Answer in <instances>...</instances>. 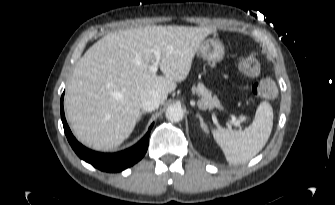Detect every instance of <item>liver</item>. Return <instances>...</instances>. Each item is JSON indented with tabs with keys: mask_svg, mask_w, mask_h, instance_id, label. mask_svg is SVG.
I'll return each mask as SVG.
<instances>
[{
	"mask_svg": "<svg viewBox=\"0 0 335 205\" xmlns=\"http://www.w3.org/2000/svg\"><path fill=\"white\" fill-rule=\"evenodd\" d=\"M215 29L144 26L109 33L78 61L65 96L66 116L76 138L99 151L119 146L135 128L140 98L155 90L164 103L184 81L203 40ZM160 48V70L149 68Z\"/></svg>",
	"mask_w": 335,
	"mask_h": 205,
	"instance_id": "liver-1",
	"label": "liver"
}]
</instances>
